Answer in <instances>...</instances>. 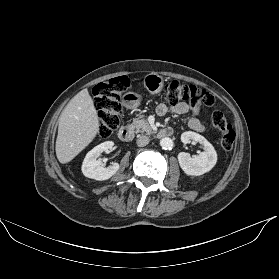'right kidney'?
<instances>
[{"label": "right kidney", "mask_w": 279, "mask_h": 279, "mask_svg": "<svg viewBox=\"0 0 279 279\" xmlns=\"http://www.w3.org/2000/svg\"><path fill=\"white\" fill-rule=\"evenodd\" d=\"M113 145L112 141H106L86 154L81 168L85 177L99 181L108 180L119 170L118 163H112V165L104 167L101 159L98 158L102 152L111 150Z\"/></svg>", "instance_id": "right-kidney-1"}]
</instances>
